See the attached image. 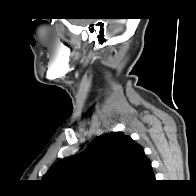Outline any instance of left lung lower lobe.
Returning <instances> with one entry per match:
<instances>
[{
  "label": "left lung lower lobe",
  "instance_id": "left-lung-lower-lobe-1",
  "mask_svg": "<svg viewBox=\"0 0 196 196\" xmlns=\"http://www.w3.org/2000/svg\"><path fill=\"white\" fill-rule=\"evenodd\" d=\"M154 180H155V176L152 171L151 162L149 161L143 168L136 184L141 185V184L152 183L154 182Z\"/></svg>",
  "mask_w": 196,
  "mask_h": 196
}]
</instances>
